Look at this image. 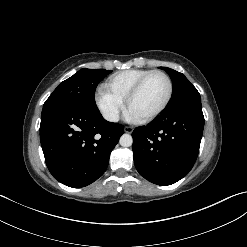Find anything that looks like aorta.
<instances>
[{"mask_svg":"<svg viewBox=\"0 0 247 247\" xmlns=\"http://www.w3.org/2000/svg\"><path fill=\"white\" fill-rule=\"evenodd\" d=\"M119 143L123 147H130L133 143V138L130 134H123L120 137Z\"/></svg>","mask_w":247,"mask_h":247,"instance_id":"1","label":"aorta"}]
</instances>
